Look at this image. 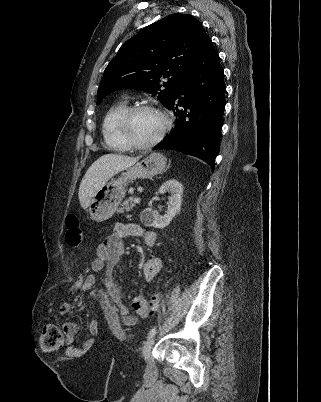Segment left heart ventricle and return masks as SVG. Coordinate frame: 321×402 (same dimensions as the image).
<instances>
[{
  "label": "left heart ventricle",
  "mask_w": 321,
  "mask_h": 402,
  "mask_svg": "<svg viewBox=\"0 0 321 402\" xmlns=\"http://www.w3.org/2000/svg\"><path fill=\"white\" fill-rule=\"evenodd\" d=\"M164 125L162 116L154 111L136 113L130 122V133L139 143H148L158 136Z\"/></svg>",
  "instance_id": "1"
}]
</instances>
